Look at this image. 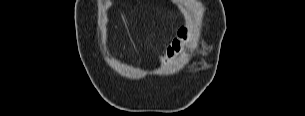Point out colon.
<instances>
[{"label": "colon", "instance_id": "5ec220e1", "mask_svg": "<svg viewBox=\"0 0 305 116\" xmlns=\"http://www.w3.org/2000/svg\"><path fill=\"white\" fill-rule=\"evenodd\" d=\"M188 33L185 27H181L178 32L176 38L170 43L167 47L166 53L161 61L162 65L168 64L172 59L180 52L182 47L185 45L187 41Z\"/></svg>", "mask_w": 305, "mask_h": 116}]
</instances>
